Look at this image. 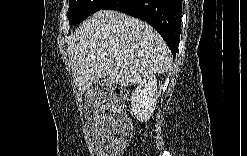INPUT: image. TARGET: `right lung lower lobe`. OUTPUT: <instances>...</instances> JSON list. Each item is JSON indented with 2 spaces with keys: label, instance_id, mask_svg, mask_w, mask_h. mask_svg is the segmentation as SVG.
I'll list each match as a JSON object with an SVG mask.
<instances>
[{
  "label": "right lung lower lobe",
  "instance_id": "obj_1",
  "mask_svg": "<svg viewBox=\"0 0 247 156\" xmlns=\"http://www.w3.org/2000/svg\"><path fill=\"white\" fill-rule=\"evenodd\" d=\"M117 10L149 23L159 32L173 55L180 40L181 0H108L101 8Z\"/></svg>",
  "mask_w": 247,
  "mask_h": 156
}]
</instances>
